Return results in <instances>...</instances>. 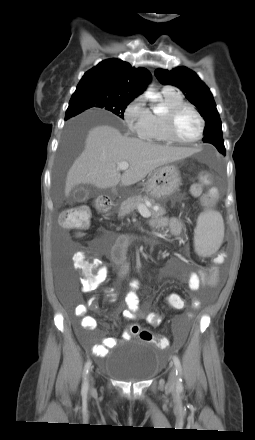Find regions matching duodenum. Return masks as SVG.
<instances>
[{"label":"duodenum","instance_id":"1","mask_svg":"<svg viewBox=\"0 0 255 440\" xmlns=\"http://www.w3.org/2000/svg\"><path fill=\"white\" fill-rule=\"evenodd\" d=\"M97 208L102 212H108L111 209L109 200L99 199L97 201Z\"/></svg>","mask_w":255,"mask_h":440}]
</instances>
